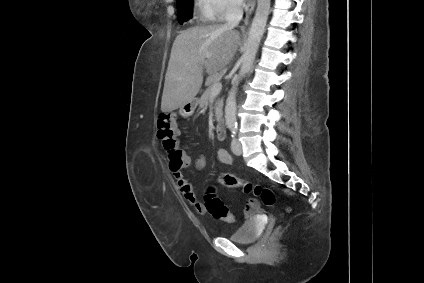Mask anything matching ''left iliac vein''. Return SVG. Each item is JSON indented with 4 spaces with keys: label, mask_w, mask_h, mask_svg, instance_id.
Masks as SVG:
<instances>
[{
    "label": "left iliac vein",
    "mask_w": 424,
    "mask_h": 283,
    "mask_svg": "<svg viewBox=\"0 0 424 283\" xmlns=\"http://www.w3.org/2000/svg\"><path fill=\"white\" fill-rule=\"evenodd\" d=\"M231 150L235 155L239 156L242 154V145L236 138L232 139Z\"/></svg>",
    "instance_id": "4c4485c4"
}]
</instances>
